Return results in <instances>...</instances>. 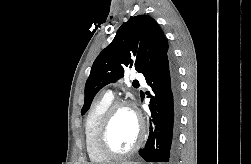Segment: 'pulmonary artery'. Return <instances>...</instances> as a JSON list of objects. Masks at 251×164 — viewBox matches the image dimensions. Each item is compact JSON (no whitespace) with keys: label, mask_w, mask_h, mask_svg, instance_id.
<instances>
[{"label":"pulmonary artery","mask_w":251,"mask_h":164,"mask_svg":"<svg viewBox=\"0 0 251 164\" xmlns=\"http://www.w3.org/2000/svg\"><path fill=\"white\" fill-rule=\"evenodd\" d=\"M133 78H134V79H137V80H139V81H141V82H144V78H143V76H142L141 74L135 73V74L133 75ZM106 95L113 97V91L108 90V91L106 92Z\"/></svg>","instance_id":"obj_1"}]
</instances>
